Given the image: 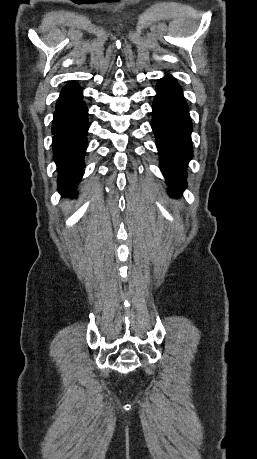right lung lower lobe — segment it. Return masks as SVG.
Listing matches in <instances>:
<instances>
[{
    "label": "right lung lower lobe",
    "mask_w": 257,
    "mask_h": 459,
    "mask_svg": "<svg viewBox=\"0 0 257 459\" xmlns=\"http://www.w3.org/2000/svg\"><path fill=\"white\" fill-rule=\"evenodd\" d=\"M82 91L75 82L62 90L52 124L54 160L59 172L58 190L73 196L83 175L87 147L88 113Z\"/></svg>",
    "instance_id": "1"
}]
</instances>
